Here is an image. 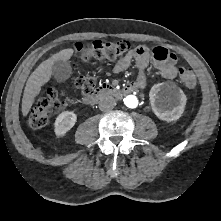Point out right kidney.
<instances>
[{"instance_id":"1","label":"right kidney","mask_w":221,"mask_h":221,"mask_svg":"<svg viewBox=\"0 0 221 221\" xmlns=\"http://www.w3.org/2000/svg\"><path fill=\"white\" fill-rule=\"evenodd\" d=\"M77 116L74 112L64 111L60 113L54 123V131L57 136H64L76 123Z\"/></svg>"}]
</instances>
